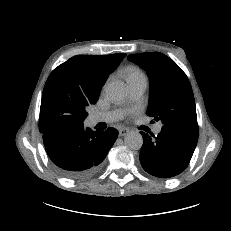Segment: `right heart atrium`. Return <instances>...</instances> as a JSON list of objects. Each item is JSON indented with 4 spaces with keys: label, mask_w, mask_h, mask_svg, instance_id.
I'll list each match as a JSON object with an SVG mask.
<instances>
[{
    "label": "right heart atrium",
    "mask_w": 231,
    "mask_h": 231,
    "mask_svg": "<svg viewBox=\"0 0 231 231\" xmlns=\"http://www.w3.org/2000/svg\"><path fill=\"white\" fill-rule=\"evenodd\" d=\"M106 85H107V83H105V84H104V87H103V88H105V87H106Z\"/></svg>",
    "instance_id": "obj_1"
}]
</instances>
